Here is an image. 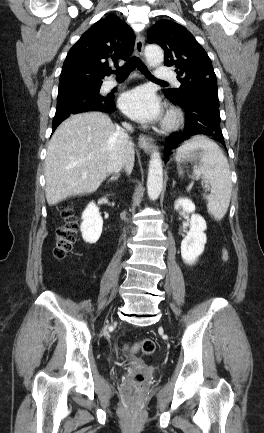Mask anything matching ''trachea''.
Returning <instances> with one entry per match:
<instances>
[{"label": "trachea", "mask_w": 264, "mask_h": 433, "mask_svg": "<svg viewBox=\"0 0 264 433\" xmlns=\"http://www.w3.org/2000/svg\"><path fill=\"white\" fill-rule=\"evenodd\" d=\"M136 67L145 77H147L151 80H154V81L165 82V81L156 79L150 73V71L143 65L142 61L136 56L131 57L127 61L125 66L116 72V77L117 78H126L130 74V72L133 71Z\"/></svg>", "instance_id": "trachea-1"}]
</instances>
